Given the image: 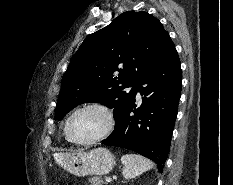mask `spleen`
<instances>
[{
  "label": "spleen",
  "instance_id": "obj_1",
  "mask_svg": "<svg viewBox=\"0 0 233 185\" xmlns=\"http://www.w3.org/2000/svg\"><path fill=\"white\" fill-rule=\"evenodd\" d=\"M123 166V176L125 179H133L152 169L153 164L150 160L137 155L126 154L121 158Z\"/></svg>",
  "mask_w": 233,
  "mask_h": 185
}]
</instances>
